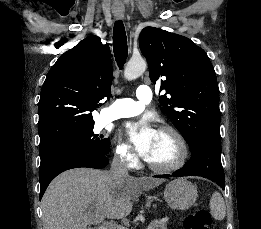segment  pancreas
Wrapping results in <instances>:
<instances>
[{
  "label": "pancreas",
  "instance_id": "cf45deb5",
  "mask_svg": "<svg viewBox=\"0 0 261 229\" xmlns=\"http://www.w3.org/2000/svg\"><path fill=\"white\" fill-rule=\"evenodd\" d=\"M153 229H167V221H164V219L155 221V227Z\"/></svg>",
  "mask_w": 261,
  "mask_h": 229
}]
</instances>
